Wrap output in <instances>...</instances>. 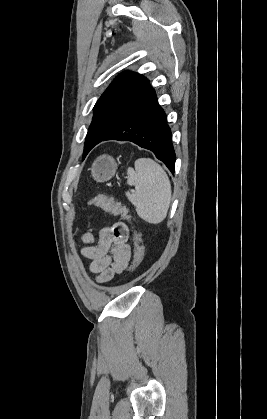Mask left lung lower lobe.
Masks as SVG:
<instances>
[{
    "label": "left lung lower lobe",
    "instance_id": "obj_1",
    "mask_svg": "<svg viewBox=\"0 0 267 419\" xmlns=\"http://www.w3.org/2000/svg\"><path fill=\"white\" fill-rule=\"evenodd\" d=\"M113 127L86 150L84 157L98 143L106 140L131 141L152 151L174 173L175 152L171 130L165 112L159 106L156 93L147 86L136 96L132 104L112 114Z\"/></svg>",
    "mask_w": 267,
    "mask_h": 419
}]
</instances>
